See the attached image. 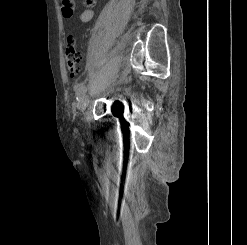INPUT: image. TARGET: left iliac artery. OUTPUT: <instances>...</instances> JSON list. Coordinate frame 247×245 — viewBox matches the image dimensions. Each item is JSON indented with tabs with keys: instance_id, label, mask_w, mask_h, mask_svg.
I'll return each mask as SVG.
<instances>
[{
	"instance_id": "44dca946",
	"label": "left iliac artery",
	"mask_w": 247,
	"mask_h": 245,
	"mask_svg": "<svg viewBox=\"0 0 247 245\" xmlns=\"http://www.w3.org/2000/svg\"><path fill=\"white\" fill-rule=\"evenodd\" d=\"M86 92H87L86 86L84 84H80L76 91L77 101H80L85 96Z\"/></svg>"
}]
</instances>
